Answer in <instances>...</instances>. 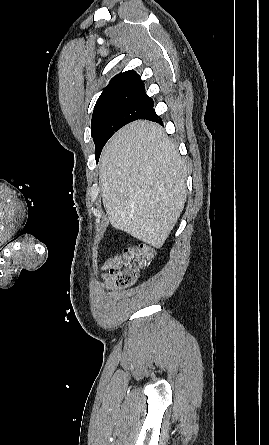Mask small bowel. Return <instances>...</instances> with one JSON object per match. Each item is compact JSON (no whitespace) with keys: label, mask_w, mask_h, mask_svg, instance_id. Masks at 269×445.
I'll return each instance as SVG.
<instances>
[{"label":"small bowel","mask_w":269,"mask_h":445,"mask_svg":"<svg viewBox=\"0 0 269 445\" xmlns=\"http://www.w3.org/2000/svg\"><path fill=\"white\" fill-rule=\"evenodd\" d=\"M120 256L109 258L102 266L101 281L98 283V287L105 290H113L115 288L112 279V269L117 265Z\"/></svg>","instance_id":"small-bowel-1"}]
</instances>
